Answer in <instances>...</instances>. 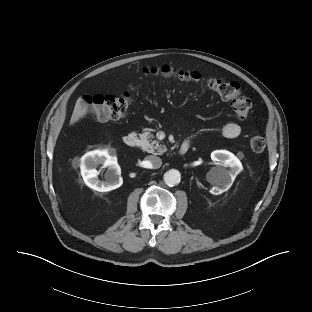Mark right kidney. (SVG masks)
Listing matches in <instances>:
<instances>
[{"mask_svg": "<svg viewBox=\"0 0 312 312\" xmlns=\"http://www.w3.org/2000/svg\"><path fill=\"white\" fill-rule=\"evenodd\" d=\"M108 167L105 173V180L98 179L99 172L97 166ZM81 175L85 184L93 190L107 192L120 187L123 183L121 168L117 163V158L111 156L108 151L95 150L86 153L81 158Z\"/></svg>", "mask_w": 312, "mask_h": 312, "instance_id": "1", "label": "right kidney"}]
</instances>
